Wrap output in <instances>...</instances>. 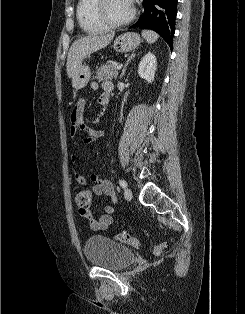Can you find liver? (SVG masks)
<instances>
[{
    "label": "liver",
    "mask_w": 245,
    "mask_h": 314,
    "mask_svg": "<svg viewBox=\"0 0 245 314\" xmlns=\"http://www.w3.org/2000/svg\"><path fill=\"white\" fill-rule=\"evenodd\" d=\"M114 35V33L106 35L89 34L75 40L70 47L67 57L66 70L68 77H73L83 60L90 54L105 48L112 41Z\"/></svg>",
    "instance_id": "1"
}]
</instances>
